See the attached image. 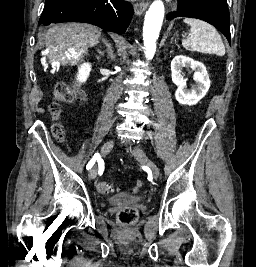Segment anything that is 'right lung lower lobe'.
<instances>
[{
    "label": "right lung lower lobe",
    "instance_id": "98d812e1",
    "mask_svg": "<svg viewBox=\"0 0 256 267\" xmlns=\"http://www.w3.org/2000/svg\"><path fill=\"white\" fill-rule=\"evenodd\" d=\"M133 7L122 0H51L45 3L39 24L84 22L123 34Z\"/></svg>",
    "mask_w": 256,
    "mask_h": 267
}]
</instances>
